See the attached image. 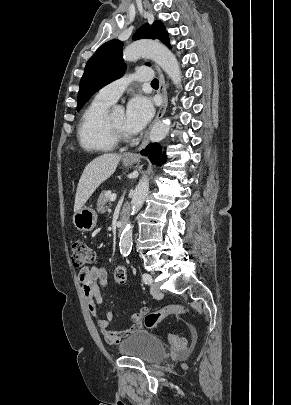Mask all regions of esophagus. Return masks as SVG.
I'll return each mask as SVG.
<instances>
[{
  "instance_id": "esophagus-1",
  "label": "esophagus",
  "mask_w": 291,
  "mask_h": 405,
  "mask_svg": "<svg viewBox=\"0 0 291 405\" xmlns=\"http://www.w3.org/2000/svg\"><path fill=\"white\" fill-rule=\"evenodd\" d=\"M157 74H158V78H159L158 93L161 95L162 103H161V106L159 107V110L156 114L155 119L153 120L152 124L150 125L148 131L146 132L144 139L138 150H142L148 144L150 128L152 127L153 124H155L157 121H159L163 117V115L166 112V108H167L168 97H167L165 80H164V77H163V74L161 73V71L157 70ZM136 157L137 156L135 153H129V154L125 155V159H135Z\"/></svg>"
}]
</instances>
